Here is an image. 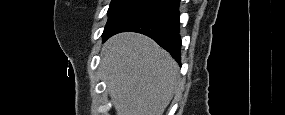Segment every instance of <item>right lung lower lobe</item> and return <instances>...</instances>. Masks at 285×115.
Returning a JSON list of instances; mask_svg holds the SVG:
<instances>
[{"instance_id":"right-lung-lower-lobe-1","label":"right lung lower lobe","mask_w":285,"mask_h":115,"mask_svg":"<svg viewBox=\"0 0 285 115\" xmlns=\"http://www.w3.org/2000/svg\"><path fill=\"white\" fill-rule=\"evenodd\" d=\"M179 3L180 0H156L125 19L103 39L105 41L112 35L126 31L142 33L155 40L181 63Z\"/></svg>"}]
</instances>
